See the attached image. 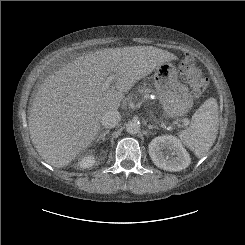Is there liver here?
Returning <instances> with one entry per match:
<instances>
[{"label":"liver","mask_w":245,"mask_h":245,"mask_svg":"<svg viewBox=\"0 0 245 245\" xmlns=\"http://www.w3.org/2000/svg\"><path fill=\"white\" fill-rule=\"evenodd\" d=\"M176 59L153 46L108 48L80 56L48 76L28 116L38 154L54 167H66L96 139L104 112L117 110L137 81ZM109 76L114 79L105 90Z\"/></svg>","instance_id":"1"}]
</instances>
